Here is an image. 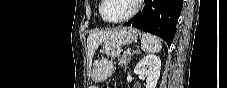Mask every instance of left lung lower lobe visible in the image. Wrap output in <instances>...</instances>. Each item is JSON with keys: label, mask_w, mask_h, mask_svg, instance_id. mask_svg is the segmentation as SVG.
<instances>
[{"label": "left lung lower lobe", "mask_w": 227, "mask_h": 88, "mask_svg": "<svg viewBox=\"0 0 227 88\" xmlns=\"http://www.w3.org/2000/svg\"><path fill=\"white\" fill-rule=\"evenodd\" d=\"M182 4L183 0H145L142 12L124 25L158 35L170 46Z\"/></svg>", "instance_id": "1"}]
</instances>
